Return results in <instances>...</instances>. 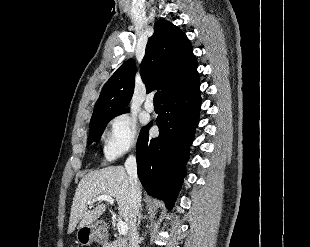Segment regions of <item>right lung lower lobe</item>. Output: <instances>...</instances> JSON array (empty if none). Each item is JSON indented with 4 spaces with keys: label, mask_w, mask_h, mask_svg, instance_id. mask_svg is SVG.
Wrapping results in <instances>:
<instances>
[{
    "label": "right lung lower lobe",
    "mask_w": 310,
    "mask_h": 247,
    "mask_svg": "<svg viewBox=\"0 0 310 247\" xmlns=\"http://www.w3.org/2000/svg\"><path fill=\"white\" fill-rule=\"evenodd\" d=\"M156 119L159 136L149 140L148 124L137 141V171L147 193L171 209L185 176L189 147L199 122L201 106L199 81L162 101Z\"/></svg>",
    "instance_id": "obj_1"
}]
</instances>
